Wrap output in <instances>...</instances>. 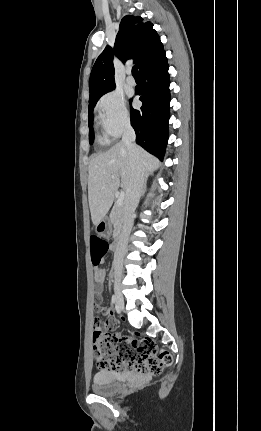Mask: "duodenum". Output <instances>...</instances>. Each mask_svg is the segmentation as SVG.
Wrapping results in <instances>:
<instances>
[{
    "instance_id": "1",
    "label": "duodenum",
    "mask_w": 261,
    "mask_h": 431,
    "mask_svg": "<svg viewBox=\"0 0 261 431\" xmlns=\"http://www.w3.org/2000/svg\"><path fill=\"white\" fill-rule=\"evenodd\" d=\"M119 245H120V239H117V240L114 242L113 246H112L113 251H114L115 253L118 251V249H119Z\"/></svg>"
}]
</instances>
